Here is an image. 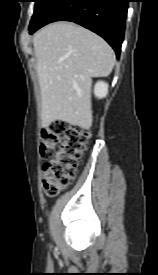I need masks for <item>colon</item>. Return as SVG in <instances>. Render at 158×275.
I'll use <instances>...</instances> for the list:
<instances>
[{
    "instance_id": "obj_1",
    "label": "colon",
    "mask_w": 158,
    "mask_h": 275,
    "mask_svg": "<svg viewBox=\"0 0 158 275\" xmlns=\"http://www.w3.org/2000/svg\"><path fill=\"white\" fill-rule=\"evenodd\" d=\"M89 138V132L61 121L42 130L39 149L44 160L42 184L47 196H56L75 178Z\"/></svg>"
}]
</instances>
